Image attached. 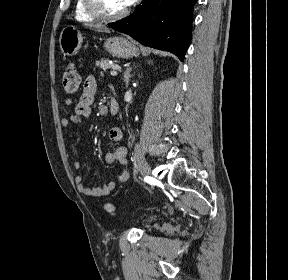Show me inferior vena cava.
<instances>
[{"instance_id": "602c4592", "label": "inferior vena cava", "mask_w": 288, "mask_h": 280, "mask_svg": "<svg viewBox=\"0 0 288 280\" xmlns=\"http://www.w3.org/2000/svg\"><path fill=\"white\" fill-rule=\"evenodd\" d=\"M125 93L127 94V97H135V92H130L129 89H126ZM132 147H135L136 150H140L141 142H132ZM137 156L139 159H146V154H142L141 152H138Z\"/></svg>"}]
</instances>
